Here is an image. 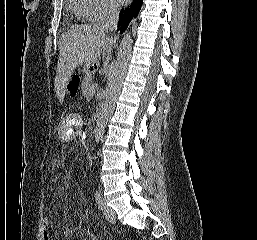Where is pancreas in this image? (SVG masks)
<instances>
[{
	"instance_id": "pancreas-1",
	"label": "pancreas",
	"mask_w": 257,
	"mask_h": 240,
	"mask_svg": "<svg viewBox=\"0 0 257 240\" xmlns=\"http://www.w3.org/2000/svg\"><path fill=\"white\" fill-rule=\"evenodd\" d=\"M91 79H92L91 73L86 72V78L84 79L83 84H82V92H83L84 96L89 95V90L92 87Z\"/></svg>"
}]
</instances>
